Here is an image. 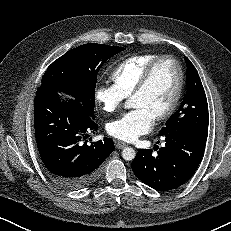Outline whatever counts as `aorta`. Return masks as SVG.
I'll list each match as a JSON object with an SVG mask.
<instances>
[{
    "label": "aorta",
    "instance_id": "1",
    "mask_svg": "<svg viewBox=\"0 0 231 231\" xmlns=\"http://www.w3.org/2000/svg\"><path fill=\"white\" fill-rule=\"evenodd\" d=\"M136 156L135 150L130 147H126L122 151V157L126 161H132Z\"/></svg>",
    "mask_w": 231,
    "mask_h": 231
}]
</instances>
